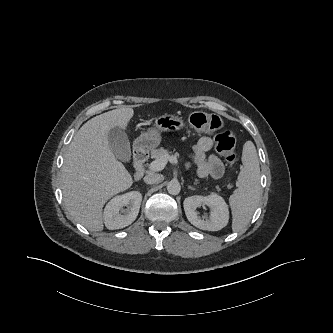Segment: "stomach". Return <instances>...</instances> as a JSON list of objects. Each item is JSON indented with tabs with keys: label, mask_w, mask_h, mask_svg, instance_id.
Wrapping results in <instances>:
<instances>
[{
	"label": "stomach",
	"mask_w": 333,
	"mask_h": 333,
	"mask_svg": "<svg viewBox=\"0 0 333 333\" xmlns=\"http://www.w3.org/2000/svg\"><path fill=\"white\" fill-rule=\"evenodd\" d=\"M183 126V120L176 115H160L155 119L154 127L142 132L134 141V147L139 151H150L160 144L162 132L180 130Z\"/></svg>",
	"instance_id": "stomach-1"
}]
</instances>
